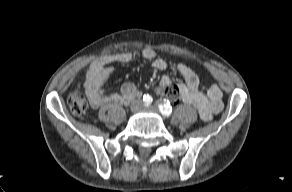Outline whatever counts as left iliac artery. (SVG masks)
I'll use <instances>...</instances> for the list:
<instances>
[{
	"mask_svg": "<svg viewBox=\"0 0 292 192\" xmlns=\"http://www.w3.org/2000/svg\"><path fill=\"white\" fill-rule=\"evenodd\" d=\"M159 111L164 116H169L172 113V106L169 101H164L162 104L158 105Z\"/></svg>",
	"mask_w": 292,
	"mask_h": 192,
	"instance_id": "left-iliac-artery-1",
	"label": "left iliac artery"
}]
</instances>
